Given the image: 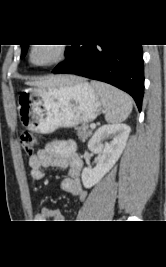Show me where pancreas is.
Instances as JSON below:
<instances>
[{"label": "pancreas", "mask_w": 166, "mask_h": 267, "mask_svg": "<svg viewBox=\"0 0 166 267\" xmlns=\"http://www.w3.org/2000/svg\"><path fill=\"white\" fill-rule=\"evenodd\" d=\"M77 135L79 138L85 142L88 137L92 135V130L88 124H83L81 126L75 127Z\"/></svg>", "instance_id": "cf45deb5"}]
</instances>
